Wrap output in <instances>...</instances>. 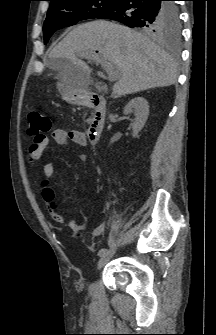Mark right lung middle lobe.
I'll return each mask as SVG.
<instances>
[{"mask_svg": "<svg viewBox=\"0 0 216 335\" xmlns=\"http://www.w3.org/2000/svg\"><path fill=\"white\" fill-rule=\"evenodd\" d=\"M119 0H53L44 22V43L58 29L72 26L78 21L101 18L112 10ZM176 5V4H175ZM177 7V6H176ZM151 35H168L178 37L180 34V22H170L167 28L155 33L144 30Z\"/></svg>", "mask_w": 216, "mask_h": 335, "instance_id": "1", "label": "right lung middle lobe"}]
</instances>
